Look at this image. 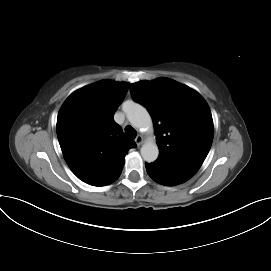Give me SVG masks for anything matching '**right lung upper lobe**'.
Wrapping results in <instances>:
<instances>
[{
  "instance_id": "right-lung-upper-lobe-1",
  "label": "right lung upper lobe",
  "mask_w": 271,
  "mask_h": 271,
  "mask_svg": "<svg viewBox=\"0 0 271 271\" xmlns=\"http://www.w3.org/2000/svg\"><path fill=\"white\" fill-rule=\"evenodd\" d=\"M127 82L102 80L72 93L57 118V136L65 161L82 181L103 186L121 173L124 158L136 147L113 115L122 103Z\"/></svg>"
}]
</instances>
